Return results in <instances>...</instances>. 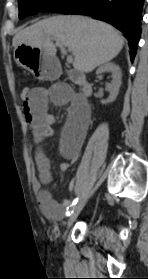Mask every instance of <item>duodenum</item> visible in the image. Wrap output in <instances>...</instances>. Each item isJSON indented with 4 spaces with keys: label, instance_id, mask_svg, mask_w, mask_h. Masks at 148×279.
Masks as SVG:
<instances>
[{
    "label": "duodenum",
    "instance_id": "obj_1",
    "mask_svg": "<svg viewBox=\"0 0 148 279\" xmlns=\"http://www.w3.org/2000/svg\"><path fill=\"white\" fill-rule=\"evenodd\" d=\"M66 74L69 76L70 80L77 82L80 85L81 92L84 96H89L91 94V85L81 73L74 70H67Z\"/></svg>",
    "mask_w": 148,
    "mask_h": 279
}]
</instances>
